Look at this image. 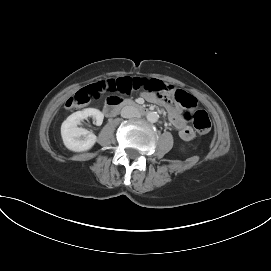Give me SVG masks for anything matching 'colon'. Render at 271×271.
Listing matches in <instances>:
<instances>
[{"mask_svg":"<svg viewBox=\"0 0 271 271\" xmlns=\"http://www.w3.org/2000/svg\"><path fill=\"white\" fill-rule=\"evenodd\" d=\"M106 89L111 92L130 93L133 90L140 89V79H131L125 77L119 78L117 80H111L104 87H100L99 85L87 86L80 89L73 96H71L66 102V107L68 109L82 107L88 104L93 98L97 97L101 91ZM174 99L185 108L183 117L185 119L192 120L193 125L198 133L207 134L210 131L211 121L207 112L204 110H196L193 113L191 112V110H193L197 104L196 99L192 95L182 90H177L174 93Z\"/></svg>","mask_w":271,"mask_h":271,"instance_id":"obj_1","label":"colon"}]
</instances>
